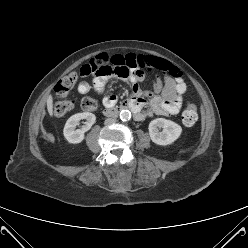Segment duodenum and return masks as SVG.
Instances as JSON below:
<instances>
[{
    "instance_id": "duodenum-1",
    "label": "duodenum",
    "mask_w": 248,
    "mask_h": 248,
    "mask_svg": "<svg viewBox=\"0 0 248 248\" xmlns=\"http://www.w3.org/2000/svg\"><path fill=\"white\" fill-rule=\"evenodd\" d=\"M131 110L133 113L136 114V107L135 104L133 103V101L127 99L125 100L120 106L113 108V107H107L104 109L103 114L105 116H109V117H115L117 116L122 110Z\"/></svg>"
}]
</instances>
